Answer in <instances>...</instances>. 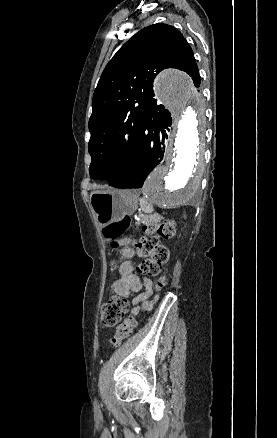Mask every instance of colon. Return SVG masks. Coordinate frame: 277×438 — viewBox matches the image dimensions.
<instances>
[{"label": "colon", "mask_w": 277, "mask_h": 438, "mask_svg": "<svg viewBox=\"0 0 277 438\" xmlns=\"http://www.w3.org/2000/svg\"><path fill=\"white\" fill-rule=\"evenodd\" d=\"M130 217L124 216L104 229L105 235L112 239L111 246L114 249L120 247L119 239L126 235L131 228ZM139 228L144 236L138 242V255L147 256L138 266L141 275L156 279L155 286L161 289L166 283L165 277H160L162 267L169 262V251L167 247L159 242V238H171L175 234L173 221H158L153 218H146ZM127 311V301L118 296L108 298L102 306L101 323L104 327L116 326L124 317ZM136 317H129L121 323L116 334L111 338L114 346L119 345L124 339L129 338L136 327Z\"/></svg>", "instance_id": "1"}]
</instances>
